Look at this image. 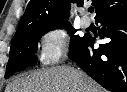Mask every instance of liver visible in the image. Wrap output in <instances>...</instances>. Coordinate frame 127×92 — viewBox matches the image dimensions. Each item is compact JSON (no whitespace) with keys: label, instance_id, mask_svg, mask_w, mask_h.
Instances as JSON below:
<instances>
[{"label":"liver","instance_id":"liver-1","mask_svg":"<svg viewBox=\"0 0 127 92\" xmlns=\"http://www.w3.org/2000/svg\"><path fill=\"white\" fill-rule=\"evenodd\" d=\"M5 92H106L82 70L66 66L42 69L16 79Z\"/></svg>","mask_w":127,"mask_h":92}]
</instances>
